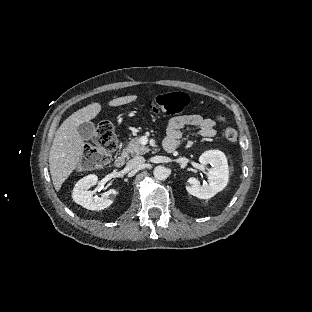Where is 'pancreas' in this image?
I'll return each instance as SVG.
<instances>
[{"mask_svg":"<svg viewBox=\"0 0 312 312\" xmlns=\"http://www.w3.org/2000/svg\"><path fill=\"white\" fill-rule=\"evenodd\" d=\"M149 152V148L142 145L140 143V139L138 137L133 138L128 143L127 147L123 149L122 156L127 157L131 155L132 157L143 155Z\"/></svg>","mask_w":312,"mask_h":312,"instance_id":"obj_1","label":"pancreas"}]
</instances>
